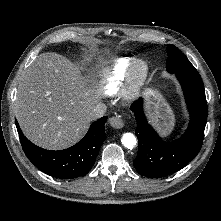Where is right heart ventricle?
<instances>
[{"label": "right heart ventricle", "instance_id": "e07e8e85", "mask_svg": "<svg viewBox=\"0 0 221 221\" xmlns=\"http://www.w3.org/2000/svg\"><path fill=\"white\" fill-rule=\"evenodd\" d=\"M134 60V58L123 57L115 61L102 80L101 91L105 95H114L123 87L128 69Z\"/></svg>", "mask_w": 221, "mask_h": 221}]
</instances>
